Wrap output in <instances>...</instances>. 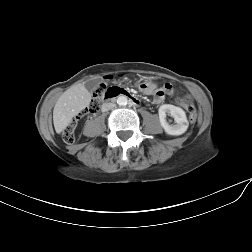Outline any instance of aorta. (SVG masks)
Segmentation results:
<instances>
[{
  "label": "aorta",
  "instance_id": "aorta-1",
  "mask_svg": "<svg viewBox=\"0 0 252 252\" xmlns=\"http://www.w3.org/2000/svg\"><path fill=\"white\" fill-rule=\"evenodd\" d=\"M128 99L126 96L121 95L117 98V104L120 106H125L127 105Z\"/></svg>",
  "mask_w": 252,
  "mask_h": 252
}]
</instances>
